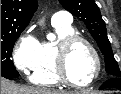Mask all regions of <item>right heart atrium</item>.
<instances>
[{
	"label": "right heart atrium",
	"instance_id": "1",
	"mask_svg": "<svg viewBox=\"0 0 121 94\" xmlns=\"http://www.w3.org/2000/svg\"><path fill=\"white\" fill-rule=\"evenodd\" d=\"M39 50L38 40L31 34L22 36L13 48L12 61L22 73H28L36 64Z\"/></svg>",
	"mask_w": 121,
	"mask_h": 94
}]
</instances>
